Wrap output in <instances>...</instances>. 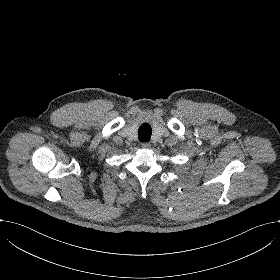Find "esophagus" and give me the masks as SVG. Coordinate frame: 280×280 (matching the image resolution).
Masks as SVG:
<instances>
[{
	"label": "esophagus",
	"instance_id": "34e87169",
	"mask_svg": "<svg viewBox=\"0 0 280 280\" xmlns=\"http://www.w3.org/2000/svg\"><path fill=\"white\" fill-rule=\"evenodd\" d=\"M141 146H142V148H144V149H150L151 148V143H149V142H143L142 144H141Z\"/></svg>",
	"mask_w": 280,
	"mask_h": 280
}]
</instances>
